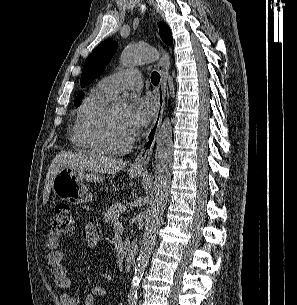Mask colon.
<instances>
[{
	"mask_svg": "<svg viewBox=\"0 0 297 305\" xmlns=\"http://www.w3.org/2000/svg\"><path fill=\"white\" fill-rule=\"evenodd\" d=\"M74 230V218L66 204H58L52 220L51 231L60 236H69Z\"/></svg>",
	"mask_w": 297,
	"mask_h": 305,
	"instance_id": "colon-1",
	"label": "colon"
}]
</instances>
